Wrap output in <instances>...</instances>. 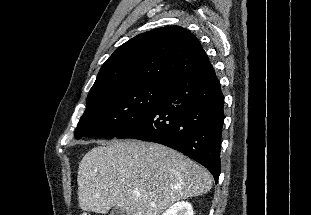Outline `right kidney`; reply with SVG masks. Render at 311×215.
<instances>
[{"mask_svg":"<svg viewBox=\"0 0 311 215\" xmlns=\"http://www.w3.org/2000/svg\"><path fill=\"white\" fill-rule=\"evenodd\" d=\"M162 215H194L192 205L188 202H177Z\"/></svg>","mask_w":311,"mask_h":215,"instance_id":"ca27d5eb","label":"right kidney"}]
</instances>
